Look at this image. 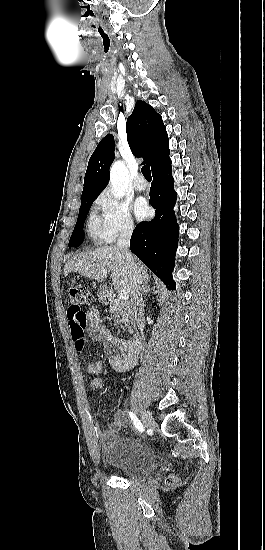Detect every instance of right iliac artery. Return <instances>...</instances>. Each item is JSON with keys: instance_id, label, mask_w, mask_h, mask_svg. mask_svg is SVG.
I'll list each match as a JSON object with an SVG mask.
<instances>
[{"instance_id": "1", "label": "right iliac artery", "mask_w": 265, "mask_h": 550, "mask_svg": "<svg viewBox=\"0 0 265 550\" xmlns=\"http://www.w3.org/2000/svg\"><path fill=\"white\" fill-rule=\"evenodd\" d=\"M129 416L133 421V424L135 425L136 429H138L140 432H143L144 431L143 425L140 422V420L136 417V415L133 412H129Z\"/></svg>"}]
</instances>
